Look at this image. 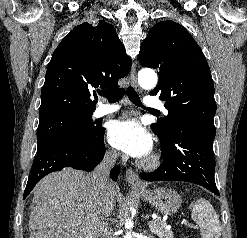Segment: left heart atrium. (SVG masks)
<instances>
[{
	"label": "left heart atrium",
	"instance_id": "1",
	"mask_svg": "<svg viewBox=\"0 0 247 238\" xmlns=\"http://www.w3.org/2000/svg\"><path fill=\"white\" fill-rule=\"evenodd\" d=\"M109 143L134 157L146 156L152 147L148 132L133 119H123L113 122L108 130Z\"/></svg>",
	"mask_w": 247,
	"mask_h": 238
}]
</instances>
